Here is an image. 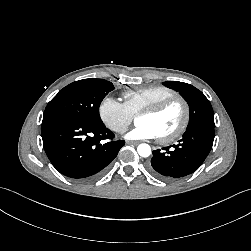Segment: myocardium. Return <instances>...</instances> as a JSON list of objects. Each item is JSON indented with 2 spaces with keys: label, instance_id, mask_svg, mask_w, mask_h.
<instances>
[{
  "label": "myocardium",
  "instance_id": "1",
  "mask_svg": "<svg viewBox=\"0 0 251 251\" xmlns=\"http://www.w3.org/2000/svg\"><path fill=\"white\" fill-rule=\"evenodd\" d=\"M174 103H179L182 106L183 117L179 126L173 132L158 137L159 141L162 143L172 142L182 136L186 131L190 122V106L186 99L180 95H174L152 106H149L138 113V117L140 115H157L166 110Z\"/></svg>",
  "mask_w": 251,
  "mask_h": 251
}]
</instances>
